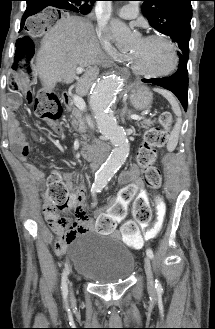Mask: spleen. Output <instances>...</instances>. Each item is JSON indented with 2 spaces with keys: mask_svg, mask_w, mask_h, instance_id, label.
<instances>
[{
  "mask_svg": "<svg viewBox=\"0 0 215 329\" xmlns=\"http://www.w3.org/2000/svg\"><path fill=\"white\" fill-rule=\"evenodd\" d=\"M154 91L160 93L162 96H164L169 101V103L172 106L173 112L177 116L176 124L174 125V128L171 132L170 140H169V143L167 146V149L169 151H173L175 149V147L177 146L179 133H180V129H181V123H182L181 110H180V107H179V104H178L176 98L174 97V95L172 93H170L169 91L163 90V89H154Z\"/></svg>",
  "mask_w": 215,
  "mask_h": 329,
  "instance_id": "1",
  "label": "spleen"
}]
</instances>
